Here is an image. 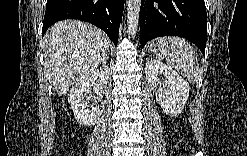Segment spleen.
<instances>
[{"label":"spleen","instance_id":"3e777b00","mask_svg":"<svg viewBox=\"0 0 247 156\" xmlns=\"http://www.w3.org/2000/svg\"><path fill=\"white\" fill-rule=\"evenodd\" d=\"M159 57L179 71L192 84L199 79V63L192 46L177 36L162 37L158 40Z\"/></svg>","mask_w":247,"mask_h":156}]
</instances>
